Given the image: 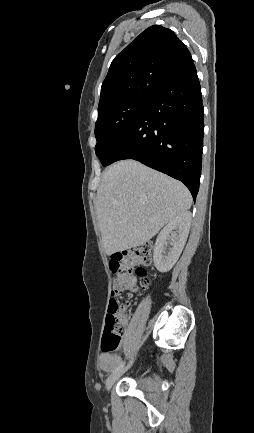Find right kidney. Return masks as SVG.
Wrapping results in <instances>:
<instances>
[{
  "label": "right kidney",
  "mask_w": 254,
  "mask_h": 433,
  "mask_svg": "<svg viewBox=\"0 0 254 433\" xmlns=\"http://www.w3.org/2000/svg\"><path fill=\"white\" fill-rule=\"evenodd\" d=\"M191 220V213L185 212L169 222L157 236L153 260L159 272H168L178 260L188 237Z\"/></svg>",
  "instance_id": "right-kidney-1"
}]
</instances>
